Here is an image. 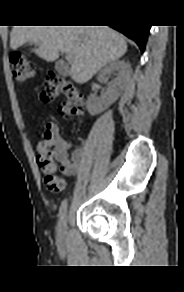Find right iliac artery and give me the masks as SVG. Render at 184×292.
Masks as SVG:
<instances>
[{
    "label": "right iliac artery",
    "instance_id": "82829eb1",
    "mask_svg": "<svg viewBox=\"0 0 184 292\" xmlns=\"http://www.w3.org/2000/svg\"><path fill=\"white\" fill-rule=\"evenodd\" d=\"M67 211V200H63L59 209V217L63 218V216L65 215Z\"/></svg>",
    "mask_w": 184,
    "mask_h": 292
}]
</instances>
